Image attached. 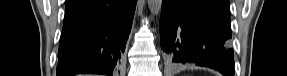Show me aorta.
Listing matches in <instances>:
<instances>
[{
    "instance_id": "obj_1",
    "label": "aorta",
    "mask_w": 287,
    "mask_h": 76,
    "mask_svg": "<svg viewBox=\"0 0 287 76\" xmlns=\"http://www.w3.org/2000/svg\"><path fill=\"white\" fill-rule=\"evenodd\" d=\"M148 6L152 15H158L162 8V0H148Z\"/></svg>"
}]
</instances>
